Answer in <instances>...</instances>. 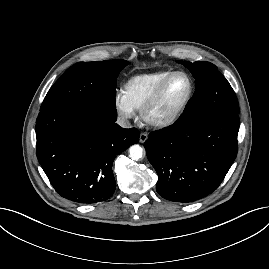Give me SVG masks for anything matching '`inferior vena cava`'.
Returning a JSON list of instances; mask_svg holds the SVG:
<instances>
[{
    "instance_id": "1",
    "label": "inferior vena cava",
    "mask_w": 269,
    "mask_h": 269,
    "mask_svg": "<svg viewBox=\"0 0 269 269\" xmlns=\"http://www.w3.org/2000/svg\"><path fill=\"white\" fill-rule=\"evenodd\" d=\"M117 124L123 128H130L131 127L130 122L126 118H123V117L117 118Z\"/></svg>"
}]
</instances>
